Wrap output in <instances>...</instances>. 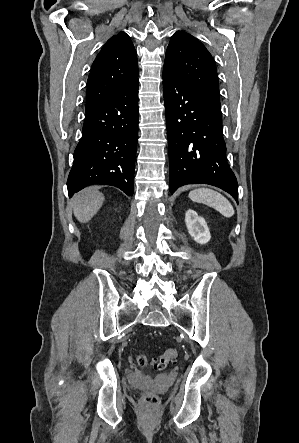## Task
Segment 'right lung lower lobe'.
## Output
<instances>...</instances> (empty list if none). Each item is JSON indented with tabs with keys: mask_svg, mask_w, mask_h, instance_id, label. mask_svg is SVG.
<instances>
[{
	"mask_svg": "<svg viewBox=\"0 0 299 443\" xmlns=\"http://www.w3.org/2000/svg\"><path fill=\"white\" fill-rule=\"evenodd\" d=\"M138 135V79L86 109L83 135L67 180L69 196L92 184L133 194Z\"/></svg>",
	"mask_w": 299,
	"mask_h": 443,
	"instance_id": "right-lung-lower-lobe-1",
	"label": "right lung lower lobe"
}]
</instances>
